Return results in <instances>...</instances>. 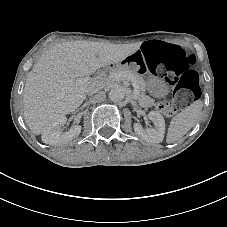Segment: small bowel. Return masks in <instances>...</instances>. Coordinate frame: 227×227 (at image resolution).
<instances>
[{
	"mask_svg": "<svg viewBox=\"0 0 227 227\" xmlns=\"http://www.w3.org/2000/svg\"><path fill=\"white\" fill-rule=\"evenodd\" d=\"M136 62L142 71H146V61L143 53L141 52V48L135 53Z\"/></svg>",
	"mask_w": 227,
	"mask_h": 227,
	"instance_id": "obj_1",
	"label": "small bowel"
}]
</instances>
